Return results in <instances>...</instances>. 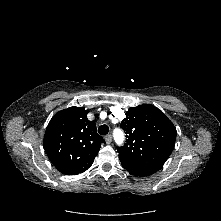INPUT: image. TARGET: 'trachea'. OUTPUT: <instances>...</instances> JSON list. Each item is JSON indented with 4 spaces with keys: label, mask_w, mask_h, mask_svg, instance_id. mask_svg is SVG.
<instances>
[{
    "label": "trachea",
    "mask_w": 221,
    "mask_h": 221,
    "mask_svg": "<svg viewBox=\"0 0 221 221\" xmlns=\"http://www.w3.org/2000/svg\"><path fill=\"white\" fill-rule=\"evenodd\" d=\"M109 132V127L107 125H101L99 128H98V133L100 135H106L108 134Z\"/></svg>",
    "instance_id": "1"
}]
</instances>
